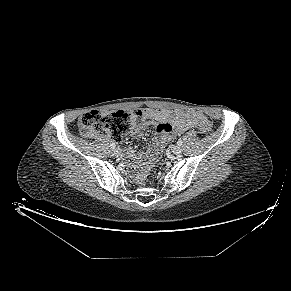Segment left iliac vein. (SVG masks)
Here are the masks:
<instances>
[{
  "instance_id": "obj_1",
  "label": "left iliac vein",
  "mask_w": 291,
  "mask_h": 291,
  "mask_svg": "<svg viewBox=\"0 0 291 291\" xmlns=\"http://www.w3.org/2000/svg\"><path fill=\"white\" fill-rule=\"evenodd\" d=\"M172 153L176 156H179L182 154V148L180 146H173Z\"/></svg>"
}]
</instances>
